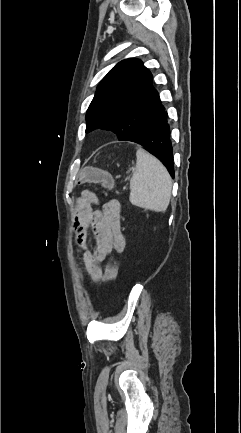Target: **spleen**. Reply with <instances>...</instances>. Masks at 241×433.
<instances>
[{
    "mask_svg": "<svg viewBox=\"0 0 241 433\" xmlns=\"http://www.w3.org/2000/svg\"><path fill=\"white\" fill-rule=\"evenodd\" d=\"M136 169L130 180L131 204L154 212L169 206L172 180L164 165L142 149L136 152Z\"/></svg>",
    "mask_w": 241,
    "mask_h": 433,
    "instance_id": "3e777b00",
    "label": "spleen"
}]
</instances>
